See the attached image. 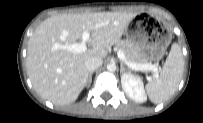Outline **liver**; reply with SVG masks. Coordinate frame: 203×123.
Returning a JSON list of instances; mask_svg holds the SVG:
<instances>
[{"label":"liver","instance_id":"6515ba94","mask_svg":"<svg viewBox=\"0 0 203 123\" xmlns=\"http://www.w3.org/2000/svg\"><path fill=\"white\" fill-rule=\"evenodd\" d=\"M138 13L98 12L61 14L45 19L28 41L27 74L35 91L55 105L74 102L87 85L85 61L103 59L118 43ZM90 32V48L73 53L62 48L82 40Z\"/></svg>","mask_w":203,"mask_h":123}]
</instances>
